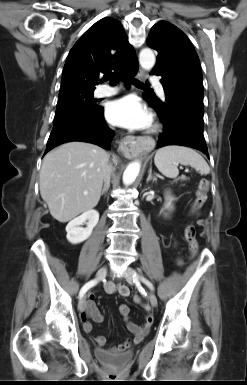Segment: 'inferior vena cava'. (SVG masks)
Segmentation results:
<instances>
[{"label":"inferior vena cava","mask_w":247,"mask_h":385,"mask_svg":"<svg viewBox=\"0 0 247 385\" xmlns=\"http://www.w3.org/2000/svg\"><path fill=\"white\" fill-rule=\"evenodd\" d=\"M110 177H111V166L108 165L104 176V182L107 183L108 181H110Z\"/></svg>","instance_id":"obj_1"}]
</instances>
